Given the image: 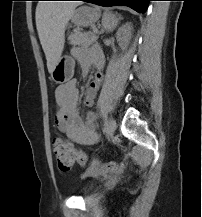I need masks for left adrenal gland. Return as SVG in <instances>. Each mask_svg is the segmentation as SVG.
<instances>
[{"label": "left adrenal gland", "instance_id": "a2214340", "mask_svg": "<svg viewBox=\"0 0 202 217\" xmlns=\"http://www.w3.org/2000/svg\"><path fill=\"white\" fill-rule=\"evenodd\" d=\"M120 19H122V17H121V16H119L118 20H120Z\"/></svg>", "mask_w": 202, "mask_h": 217}]
</instances>
